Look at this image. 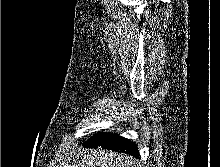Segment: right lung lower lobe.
<instances>
[{
	"instance_id": "1",
	"label": "right lung lower lobe",
	"mask_w": 220,
	"mask_h": 167,
	"mask_svg": "<svg viewBox=\"0 0 220 167\" xmlns=\"http://www.w3.org/2000/svg\"><path fill=\"white\" fill-rule=\"evenodd\" d=\"M85 148L102 147L112 151L122 152L137 157V146L128 139L120 137L116 134L99 133L93 135L84 143Z\"/></svg>"
}]
</instances>
